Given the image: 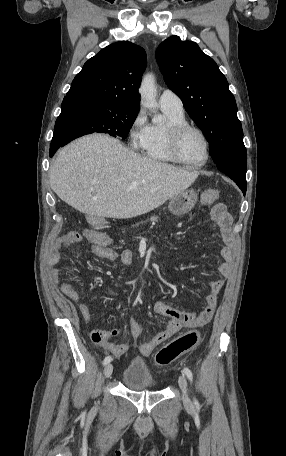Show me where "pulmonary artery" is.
I'll return each instance as SVG.
<instances>
[{
	"mask_svg": "<svg viewBox=\"0 0 286 456\" xmlns=\"http://www.w3.org/2000/svg\"><path fill=\"white\" fill-rule=\"evenodd\" d=\"M159 104L161 108L168 109L174 112L183 113V103L181 99L173 91L166 89L164 90L159 98Z\"/></svg>",
	"mask_w": 286,
	"mask_h": 456,
	"instance_id": "e3ab8cb5",
	"label": "pulmonary artery"
}]
</instances>
